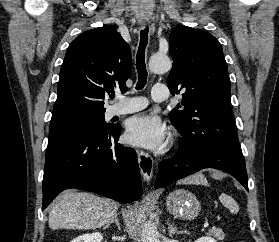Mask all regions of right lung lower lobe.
Returning a JSON list of instances; mask_svg holds the SVG:
<instances>
[{
	"mask_svg": "<svg viewBox=\"0 0 279 242\" xmlns=\"http://www.w3.org/2000/svg\"><path fill=\"white\" fill-rule=\"evenodd\" d=\"M120 126L96 135H80L48 145L43 176L44 210L68 188L120 203L141 197L142 183L134 149L118 143Z\"/></svg>",
	"mask_w": 279,
	"mask_h": 242,
	"instance_id": "1",
	"label": "right lung lower lobe"
}]
</instances>
